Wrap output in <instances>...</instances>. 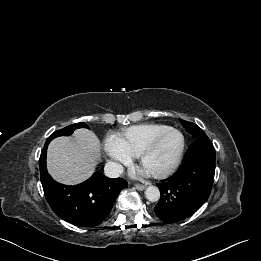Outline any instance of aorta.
<instances>
[{"label":"aorta","mask_w":261,"mask_h":261,"mask_svg":"<svg viewBox=\"0 0 261 261\" xmlns=\"http://www.w3.org/2000/svg\"><path fill=\"white\" fill-rule=\"evenodd\" d=\"M146 198L151 202H157L160 199V191L156 186H149L145 190Z\"/></svg>","instance_id":"aorta-1"}]
</instances>
